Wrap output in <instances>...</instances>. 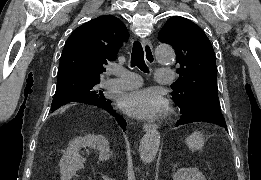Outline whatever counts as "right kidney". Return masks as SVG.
<instances>
[{
    "mask_svg": "<svg viewBox=\"0 0 261 180\" xmlns=\"http://www.w3.org/2000/svg\"><path fill=\"white\" fill-rule=\"evenodd\" d=\"M82 148H91L99 152L100 162L109 160L111 152L109 150V142H107L104 136H94V134H87L85 138H74L70 142L67 152L62 156L59 166L61 172V180H70L72 178L76 168L80 166V156Z\"/></svg>",
    "mask_w": 261,
    "mask_h": 180,
    "instance_id": "obj_1",
    "label": "right kidney"
}]
</instances>
